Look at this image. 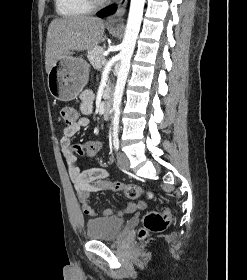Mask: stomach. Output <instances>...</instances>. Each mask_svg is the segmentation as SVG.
Wrapping results in <instances>:
<instances>
[{"instance_id":"stomach-1","label":"stomach","mask_w":247,"mask_h":280,"mask_svg":"<svg viewBox=\"0 0 247 280\" xmlns=\"http://www.w3.org/2000/svg\"><path fill=\"white\" fill-rule=\"evenodd\" d=\"M89 65L69 51L51 68L48 89L60 101H71L80 94L88 81Z\"/></svg>"}]
</instances>
